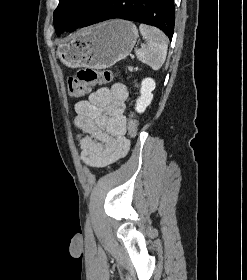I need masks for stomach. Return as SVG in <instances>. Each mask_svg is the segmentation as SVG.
<instances>
[{"mask_svg": "<svg viewBox=\"0 0 247 280\" xmlns=\"http://www.w3.org/2000/svg\"><path fill=\"white\" fill-rule=\"evenodd\" d=\"M138 38L136 26L126 20H113L85 28L68 43L61 45L58 54L71 68L105 69L125 59Z\"/></svg>", "mask_w": 247, "mask_h": 280, "instance_id": "obj_1", "label": "stomach"}]
</instances>
